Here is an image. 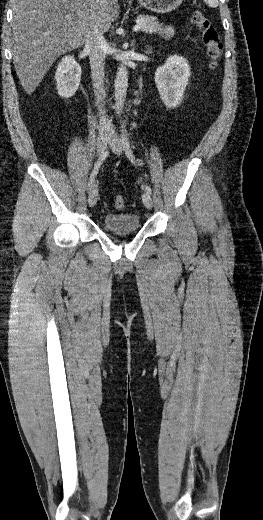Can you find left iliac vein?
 Listing matches in <instances>:
<instances>
[{
	"label": "left iliac vein",
	"instance_id": "1",
	"mask_svg": "<svg viewBox=\"0 0 263 520\" xmlns=\"http://www.w3.org/2000/svg\"><path fill=\"white\" fill-rule=\"evenodd\" d=\"M109 146L112 151L118 155L122 154L124 147L122 140L118 137L114 130H111L109 133ZM143 204L146 208L151 209L153 206V201L151 196L146 192L142 196Z\"/></svg>",
	"mask_w": 263,
	"mask_h": 520
}]
</instances>
